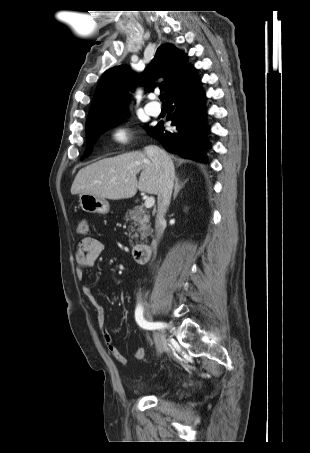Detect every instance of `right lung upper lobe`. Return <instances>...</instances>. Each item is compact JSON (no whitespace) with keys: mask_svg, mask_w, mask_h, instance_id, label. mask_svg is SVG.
<instances>
[{"mask_svg":"<svg viewBox=\"0 0 310 453\" xmlns=\"http://www.w3.org/2000/svg\"><path fill=\"white\" fill-rule=\"evenodd\" d=\"M193 70V66L186 63L184 54L172 44L159 47L149 68L141 74L131 71L126 65L110 68L96 88L86 129L121 118L125 114L129 91L138 83L148 82L146 88L151 89L156 84L149 81L163 77L165 80L159 86L167 99Z\"/></svg>","mask_w":310,"mask_h":453,"instance_id":"right-lung-upper-lobe-1","label":"right lung upper lobe"}]
</instances>
